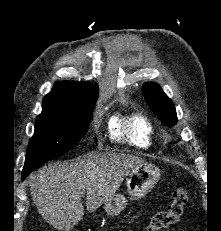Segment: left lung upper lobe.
Masks as SVG:
<instances>
[{
    "instance_id": "left-lung-upper-lobe-1",
    "label": "left lung upper lobe",
    "mask_w": 221,
    "mask_h": 231,
    "mask_svg": "<svg viewBox=\"0 0 221 231\" xmlns=\"http://www.w3.org/2000/svg\"><path fill=\"white\" fill-rule=\"evenodd\" d=\"M142 92L150 109L165 125L171 127L177 124L175 107L158 84L145 83Z\"/></svg>"
}]
</instances>
